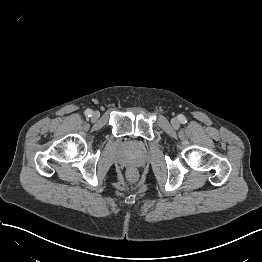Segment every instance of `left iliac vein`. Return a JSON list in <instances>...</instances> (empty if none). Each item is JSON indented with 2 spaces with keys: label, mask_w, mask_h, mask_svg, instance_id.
Returning a JSON list of instances; mask_svg holds the SVG:
<instances>
[{
  "label": "left iliac vein",
  "mask_w": 262,
  "mask_h": 262,
  "mask_svg": "<svg viewBox=\"0 0 262 262\" xmlns=\"http://www.w3.org/2000/svg\"><path fill=\"white\" fill-rule=\"evenodd\" d=\"M171 123L174 128H178L180 126V123L177 119H172Z\"/></svg>",
  "instance_id": "4c4485c4"
}]
</instances>
